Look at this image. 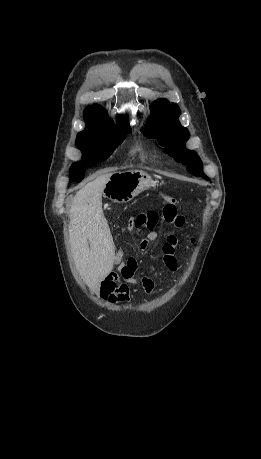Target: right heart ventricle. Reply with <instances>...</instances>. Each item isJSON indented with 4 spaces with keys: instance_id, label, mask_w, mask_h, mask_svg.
I'll list each match as a JSON object with an SVG mask.
<instances>
[{
    "instance_id": "right-heart-ventricle-1",
    "label": "right heart ventricle",
    "mask_w": 261,
    "mask_h": 459,
    "mask_svg": "<svg viewBox=\"0 0 261 459\" xmlns=\"http://www.w3.org/2000/svg\"><path fill=\"white\" fill-rule=\"evenodd\" d=\"M136 155H137L138 158H140L141 160H147V159H150V158H151L150 152L147 151L146 149H143V148L137 149Z\"/></svg>"
}]
</instances>
